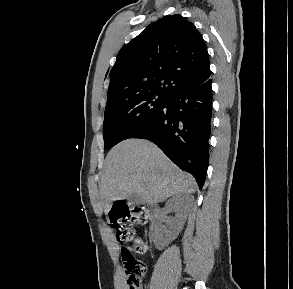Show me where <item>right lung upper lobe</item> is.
I'll return each instance as SVG.
<instances>
[{
	"label": "right lung upper lobe",
	"instance_id": "cb5924a9",
	"mask_svg": "<svg viewBox=\"0 0 293 289\" xmlns=\"http://www.w3.org/2000/svg\"><path fill=\"white\" fill-rule=\"evenodd\" d=\"M204 40L193 23L167 15L122 47L110 71L107 104L145 93L170 97L210 77Z\"/></svg>",
	"mask_w": 293,
	"mask_h": 289
}]
</instances>
